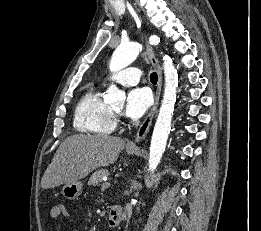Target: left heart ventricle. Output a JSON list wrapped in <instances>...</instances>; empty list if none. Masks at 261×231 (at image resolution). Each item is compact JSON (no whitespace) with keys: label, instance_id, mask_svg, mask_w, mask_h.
<instances>
[{"label":"left heart ventricle","instance_id":"obj_1","mask_svg":"<svg viewBox=\"0 0 261 231\" xmlns=\"http://www.w3.org/2000/svg\"><path fill=\"white\" fill-rule=\"evenodd\" d=\"M116 111H119L120 110V107H116V108H114Z\"/></svg>","mask_w":261,"mask_h":231}]
</instances>
